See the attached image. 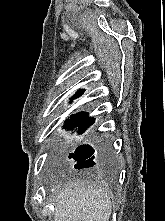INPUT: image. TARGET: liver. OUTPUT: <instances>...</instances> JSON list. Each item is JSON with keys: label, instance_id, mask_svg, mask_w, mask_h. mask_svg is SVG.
<instances>
[{"label": "liver", "instance_id": "1", "mask_svg": "<svg viewBox=\"0 0 165 221\" xmlns=\"http://www.w3.org/2000/svg\"><path fill=\"white\" fill-rule=\"evenodd\" d=\"M111 210L104 188L70 183L56 194L54 221H109Z\"/></svg>", "mask_w": 165, "mask_h": 221}]
</instances>
